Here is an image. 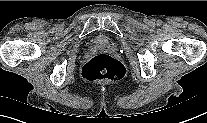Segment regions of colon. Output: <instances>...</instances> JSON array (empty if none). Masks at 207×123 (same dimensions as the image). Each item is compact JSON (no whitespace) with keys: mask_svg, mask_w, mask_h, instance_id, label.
<instances>
[{"mask_svg":"<svg viewBox=\"0 0 207 123\" xmlns=\"http://www.w3.org/2000/svg\"><path fill=\"white\" fill-rule=\"evenodd\" d=\"M124 66L107 54L90 58L82 68V75L89 81H115L124 76Z\"/></svg>","mask_w":207,"mask_h":123,"instance_id":"colon-1","label":"colon"}]
</instances>
